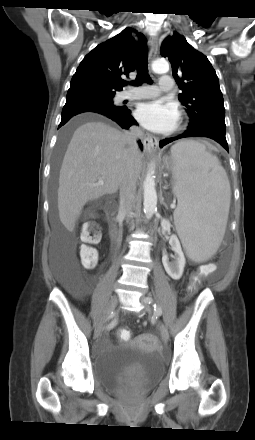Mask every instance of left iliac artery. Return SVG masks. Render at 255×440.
Instances as JSON below:
<instances>
[{"label": "left iliac artery", "mask_w": 255, "mask_h": 440, "mask_svg": "<svg viewBox=\"0 0 255 440\" xmlns=\"http://www.w3.org/2000/svg\"><path fill=\"white\" fill-rule=\"evenodd\" d=\"M145 301L148 303V304H151V303H153L154 301H153V299H152V297H146L145 298ZM154 306V311H155V313L157 314V315H162V309H161V307H159L158 305H156V304H154L153 305Z\"/></svg>", "instance_id": "left-iliac-artery-1"}]
</instances>
